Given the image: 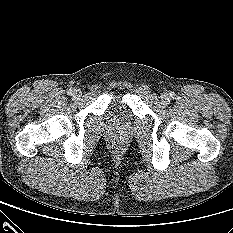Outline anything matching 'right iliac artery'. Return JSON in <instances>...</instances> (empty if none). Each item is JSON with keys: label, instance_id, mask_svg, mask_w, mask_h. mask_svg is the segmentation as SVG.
<instances>
[{"label": "right iliac artery", "instance_id": "obj_1", "mask_svg": "<svg viewBox=\"0 0 233 233\" xmlns=\"http://www.w3.org/2000/svg\"><path fill=\"white\" fill-rule=\"evenodd\" d=\"M72 92H73V90H72V89H69V90L67 91V94H68V95H72Z\"/></svg>", "mask_w": 233, "mask_h": 233}]
</instances>
